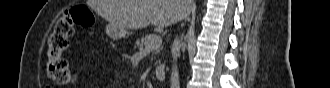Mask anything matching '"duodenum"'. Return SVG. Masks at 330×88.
Instances as JSON below:
<instances>
[{
  "instance_id": "1",
  "label": "duodenum",
  "mask_w": 330,
  "mask_h": 88,
  "mask_svg": "<svg viewBox=\"0 0 330 88\" xmlns=\"http://www.w3.org/2000/svg\"><path fill=\"white\" fill-rule=\"evenodd\" d=\"M153 73L156 79L162 80L165 77L166 68L164 65L159 64L154 67Z\"/></svg>"
}]
</instances>
